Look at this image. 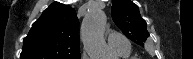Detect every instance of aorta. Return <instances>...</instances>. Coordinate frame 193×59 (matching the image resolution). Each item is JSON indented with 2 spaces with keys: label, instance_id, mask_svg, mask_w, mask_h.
<instances>
[{
  "label": "aorta",
  "instance_id": "762f6f07",
  "mask_svg": "<svg viewBox=\"0 0 193 59\" xmlns=\"http://www.w3.org/2000/svg\"><path fill=\"white\" fill-rule=\"evenodd\" d=\"M106 16L102 10H92L83 20L82 37L91 59H115L104 40Z\"/></svg>",
  "mask_w": 193,
  "mask_h": 59
}]
</instances>
